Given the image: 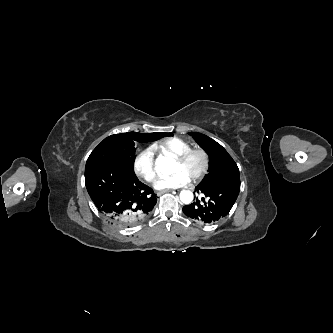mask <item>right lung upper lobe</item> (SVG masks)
Instances as JSON below:
<instances>
[{
    "instance_id": "cb5924a9",
    "label": "right lung upper lobe",
    "mask_w": 333,
    "mask_h": 333,
    "mask_svg": "<svg viewBox=\"0 0 333 333\" xmlns=\"http://www.w3.org/2000/svg\"><path fill=\"white\" fill-rule=\"evenodd\" d=\"M133 135H137V136H140V137H145V138H150V139H153L157 133H149V134H139V133H136V132H132Z\"/></svg>"
}]
</instances>
